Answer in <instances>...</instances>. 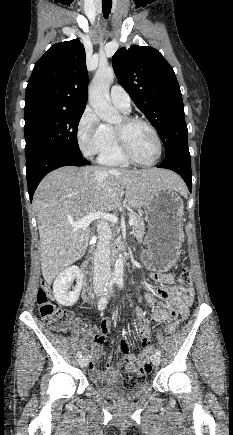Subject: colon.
Returning a JSON list of instances; mask_svg holds the SVG:
<instances>
[{"label": "colon", "mask_w": 233, "mask_h": 435, "mask_svg": "<svg viewBox=\"0 0 233 435\" xmlns=\"http://www.w3.org/2000/svg\"><path fill=\"white\" fill-rule=\"evenodd\" d=\"M180 285L184 287H189L192 283L191 281V271L189 267H185L182 269L179 277H178ZM51 288L45 283L41 284L40 289L37 292V305L39 308V313L42 319L46 322L48 327L56 332H64L69 327V324L72 321L73 314L71 311L67 309L57 308L51 301ZM189 307L185 306L182 309L181 319H184L188 315ZM143 371H151V367L149 365H143L139 367L138 373ZM138 381L136 379H129L123 383V388L126 390L131 389L134 385H136Z\"/></svg>", "instance_id": "colon-1"}]
</instances>
